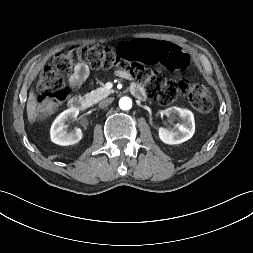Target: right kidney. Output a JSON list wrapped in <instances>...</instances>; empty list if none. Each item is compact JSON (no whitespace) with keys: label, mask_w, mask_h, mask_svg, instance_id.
Wrapping results in <instances>:
<instances>
[{"label":"right kidney","mask_w":253,"mask_h":253,"mask_svg":"<svg viewBox=\"0 0 253 253\" xmlns=\"http://www.w3.org/2000/svg\"><path fill=\"white\" fill-rule=\"evenodd\" d=\"M79 110L70 108L63 111L53 122L50 129L51 141L57 145L68 146L78 143L82 137V131L79 128L71 132H67L65 122L68 120L76 119Z\"/></svg>","instance_id":"right-kidney-1"}]
</instances>
